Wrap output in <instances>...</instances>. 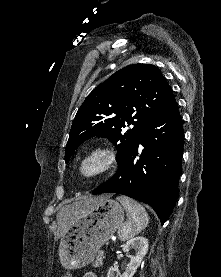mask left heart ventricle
Here are the masks:
<instances>
[{
	"instance_id": "1",
	"label": "left heart ventricle",
	"mask_w": 221,
	"mask_h": 277,
	"mask_svg": "<svg viewBox=\"0 0 221 277\" xmlns=\"http://www.w3.org/2000/svg\"><path fill=\"white\" fill-rule=\"evenodd\" d=\"M92 167V165H89L88 167H87V169H90Z\"/></svg>"
}]
</instances>
